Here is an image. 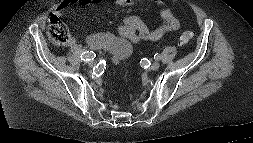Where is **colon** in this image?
I'll use <instances>...</instances> for the list:
<instances>
[{
	"mask_svg": "<svg viewBox=\"0 0 253 143\" xmlns=\"http://www.w3.org/2000/svg\"><path fill=\"white\" fill-rule=\"evenodd\" d=\"M47 34L49 39L57 46H65L69 43L70 34L66 24L56 15L49 18ZM193 35L191 32H183L178 37L180 45H186L190 42Z\"/></svg>",
	"mask_w": 253,
	"mask_h": 143,
	"instance_id": "5ec220e1",
	"label": "colon"
}]
</instances>
